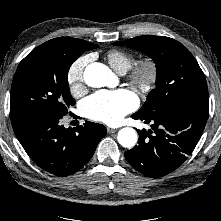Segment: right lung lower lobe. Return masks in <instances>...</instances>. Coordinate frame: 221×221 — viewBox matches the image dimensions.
<instances>
[{"label":"right lung lower lobe","instance_id":"obj_1","mask_svg":"<svg viewBox=\"0 0 221 221\" xmlns=\"http://www.w3.org/2000/svg\"><path fill=\"white\" fill-rule=\"evenodd\" d=\"M60 118L40 117L12 125L29 157L56 176L76 173L92 157L107 131L101 124L86 122L76 129L59 124Z\"/></svg>","mask_w":221,"mask_h":221}]
</instances>
